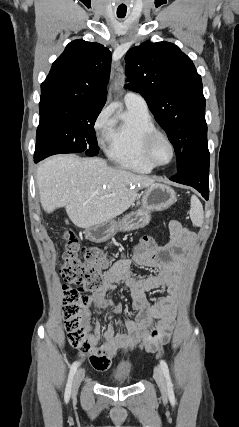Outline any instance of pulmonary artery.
Masks as SVG:
<instances>
[{
	"label": "pulmonary artery",
	"instance_id": "e3ab8cb5",
	"mask_svg": "<svg viewBox=\"0 0 239 427\" xmlns=\"http://www.w3.org/2000/svg\"><path fill=\"white\" fill-rule=\"evenodd\" d=\"M126 105L136 106L143 109H148L145 99L138 93L129 91L124 96Z\"/></svg>",
	"mask_w": 239,
	"mask_h": 427
}]
</instances>
